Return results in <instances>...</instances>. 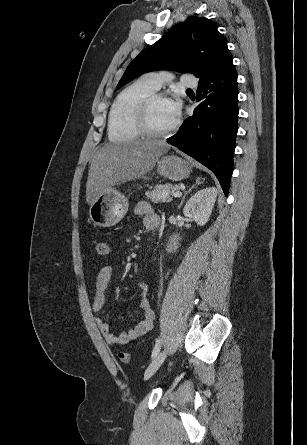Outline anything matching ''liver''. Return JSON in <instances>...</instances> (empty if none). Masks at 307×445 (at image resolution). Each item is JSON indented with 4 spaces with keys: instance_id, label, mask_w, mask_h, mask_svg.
<instances>
[{
    "instance_id": "1",
    "label": "liver",
    "mask_w": 307,
    "mask_h": 445,
    "mask_svg": "<svg viewBox=\"0 0 307 445\" xmlns=\"http://www.w3.org/2000/svg\"><path fill=\"white\" fill-rule=\"evenodd\" d=\"M171 144L164 140H129L122 144L106 142L95 152L86 180V202L111 190L119 180H135L149 172Z\"/></svg>"
}]
</instances>
